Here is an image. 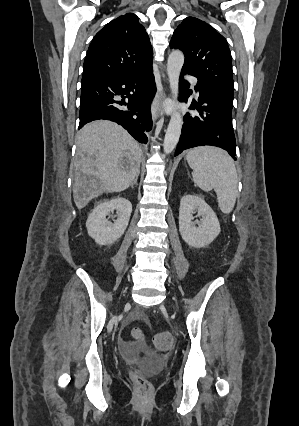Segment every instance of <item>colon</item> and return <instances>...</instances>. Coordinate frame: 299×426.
Instances as JSON below:
<instances>
[{
  "label": "colon",
  "mask_w": 299,
  "mask_h": 426,
  "mask_svg": "<svg viewBox=\"0 0 299 426\" xmlns=\"http://www.w3.org/2000/svg\"><path fill=\"white\" fill-rule=\"evenodd\" d=\"M132 334L137 340H141L143 338L142 332L137 328L133 329ZM153 341L157 348L166 350L172 347L174 338L169 332H161L154 336ZM131 379L134 383L136 396L140 400H147L153 392V387L150 381L139 371H132Z\"/></svg>",
  "instance_id": "1"
}]
</instances>
